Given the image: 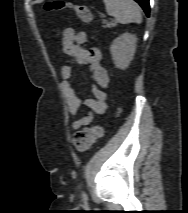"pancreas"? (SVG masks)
<instances>
[{"instance_id": "1", "label": "pancreas", "mask_w": 188, "mask_h": 213, "mask_svg": "<svg viewBox=\"0 0 188 213\" xmlns=\"http://www.w3.org/2000/svg\"><path fill=\"white\" fill-rule=\"evenodd\" d=\"M103 23L106 24L104 27H108V28H111V27H115V26H116V22H109V23L103 22Z\"/></svg>"}]
</instances>
